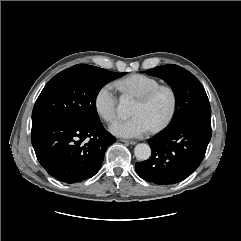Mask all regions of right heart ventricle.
Returning <instances> with one entry per match:
<instances>
[{"mask_svg":"<svg viewBox=\"0 0 241 241\" xmlns=\"http://www.w3.org/2000/svg\"><path fill=\"white\" fill-rule=\"evenodd\" d=\"M115 87L124 96H138L160 85L159 81L144 74H132L114 82Z\"/></svg>","mask_w":241,"mask_h":241,"instance_id":"right-heart-ventricle-1","label":"right heart ventricle"}]
</instances>
